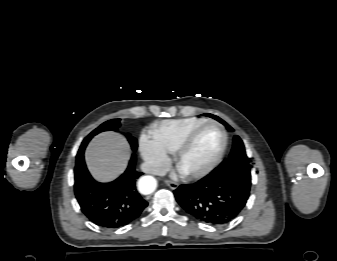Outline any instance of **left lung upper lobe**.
Returning <instances> with one entry per match:
<instances>
[{"label": "left lung upper lobe", "mask_w": 337, "mask_h": 261, "mask_svg": "<svg viewBox=\"0 0 337 261\" xmlns=\"http://www.w3.org/2000/svg\"><path fill=\"white\" fill-rule=\"evenodd\" d=\"M223 123L228 129L231 127L223 120L214 115H209ZM250 160L246 155L244 144L240 137L234 136L233 148L229 158L224 160L211 173L224 174L241 183L246 189L251 187Z\"/></svg>", "instance_id": "obj_1"}]
</instances>
